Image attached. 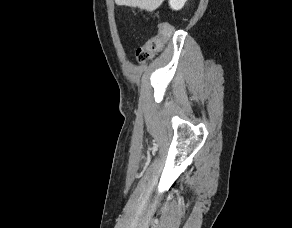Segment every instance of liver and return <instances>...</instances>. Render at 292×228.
I'll return each mask as SVG.
<instances>
[{"label": "liver", "mask_w": 292, "mask_h": 228, "mask_svg": "<svg viewBox=\"0 0 292 228\" xmlns=\"http://www.w3.org/2000/svg\"><path fill=\"white\" fill-rule=\"evenodd\" d=\"M165 0H115L117 5H125L130 7H138L145 11H154Z\"/></svg>", "instance_id": "1"}]
</instances>
